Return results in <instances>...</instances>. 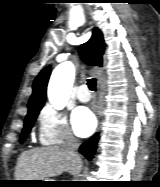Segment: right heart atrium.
Wrapping results in <instances>:
<instances>
[{
	"label": "right heart atrium",
	"mask_w": 160,
	"mask_h": 187,
	"mask_svg": "<svg viewBox=\"0 0 160 187\" xmlns=\"http://www.w3.org/2000/svg\"><path fill=\"white\" fill-rule=\"evenodd\" d=\"M39 139L43 145L75 146V137L66 116L51 106L44 107L38 117Z\"/></svg>",
	"instance_id": "d8ad5b80"
}]
</instances>
